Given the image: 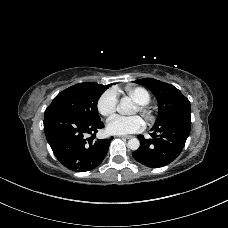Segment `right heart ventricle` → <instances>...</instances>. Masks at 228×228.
<instances>
[{
	"label": "right heart ventricle",
	"instance_id": "obj_1",
	"mask_svg": "<svg viewBox=\"0 0 228 228\" xmlns=\"http://www.w3.org/2000/svg\"><path fill=\"white\" fill-rule=\"evenodd\" d=\"M126 93L140 105H148L151 101V94L143 87H129Z\"/></svg>",
	"mask_w": 228,
	"mask_h": 228
}]
</instances>
